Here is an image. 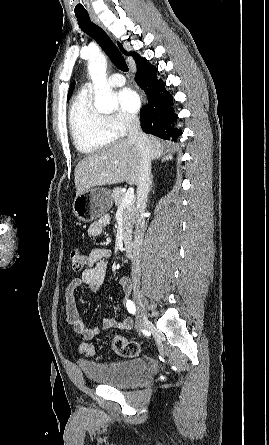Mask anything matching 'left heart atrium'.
Returning <instances> with one entry per match:
<instances>
[{
    "instance_id": "obj_1",
    "label": "left heart atrium",
    "mask_w": 269,
    "mask_h": 445,
    "mask_svg": "<svg viewBox=\"0 0 269 445\" xmlns=\"http://www.w3.org/2000/svg\"><path fill=\"white\" fill-rule=\"evenodd\" d=\"M121 109L127 114H135L140 106L139 95L130 88H124L118 93Z\"/></svg>"
}]
</instances>
